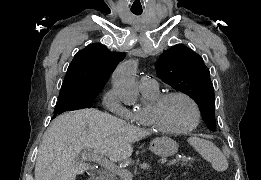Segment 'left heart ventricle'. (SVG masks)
Masks as SVG:
<instances>
[{"instance_id":"1","label":"left heart ventricle","mask_w":261,"mask_h":180,"mask_svg":"<svg viewBox=\"0 0 261 180\" xmlns=\"http://www.w3.org/2000/svg\"><path fill=\"white\" fill-rule=\"evenodd\" d=\"M137 112L145 121L153 124L160 134L182 132L194 120L192 106L181 97H172L153 111H147L145 105Z\"/></svg>"}]
</instances>
